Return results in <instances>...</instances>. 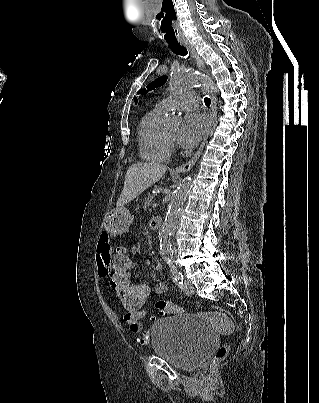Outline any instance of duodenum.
Returning a JSON list of instances; mask_svg holds the SVG:
<instances>
[{
  "instance_id": "duodenum-1",
  "label": "duodenum",
  "mask_w": 319,
  "mask_h": 403,
  "mask_svg": "<svg viewBox=\"0 0 319 403\" xmlns=\"http://www.w3.org/2000/svg\"><path fill=\"white\" fill-rule=\"evenodd\" d=\"M150 226L153 230L158 231L160 229L161 226V221L158 218H153L151 220Z\"/></svg>"
}]
</instances>
